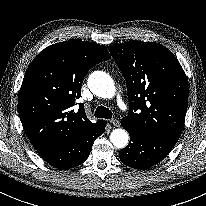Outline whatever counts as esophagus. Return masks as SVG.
Listing matches in <instances>:
<instances>
[{
	"instance_id": "obj_1",
	"label": "esophagus",
	"mask_w": 206,
	"mask_h": 206,
	"mask_svg": "<svg viewBox=\"0 0 206 206\" xmlns=\"http://www.w3.org/2000/svg\"><path fill=\"white\" fill-rule=\"evenodd\" d=\"M110 123L115 126V127H118L120 124H119V121L117 119H112L110 120Z\"/></svg>"
}]
</instances>
